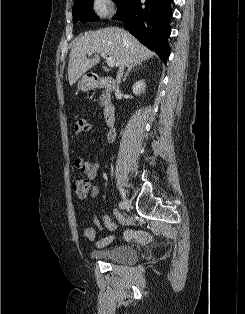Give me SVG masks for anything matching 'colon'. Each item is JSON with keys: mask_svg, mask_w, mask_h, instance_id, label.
<instances>
[{"mask_svg": "<svg viewBox=\"0 0 245 314\" xmlns=\"http://www.w3.org/2000/svg\"><path fill=\"white\" fill-rule=\"evenodd\" d=\"M81 125L85 126L84 123H80ZM73 190L76 196L80 199H86L91 191V183L90 177H84L81 179H77L73 182Z\"/></svg>", "mask_w": 245, "mask_h": 314, "instance_id": "1", "label": "colon"}]
</instances>
